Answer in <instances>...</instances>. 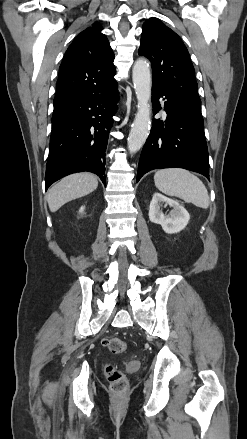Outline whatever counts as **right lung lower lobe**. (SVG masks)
Masks as SVG:
<instances>
[{"label": "right lung lower lobe", "mask_w": 247, "mask_h": 439, "mask_svg": "<svg viewBox=\"0 0 247 439\" xmlns=\"http://www.w3.org/2000/svg\"><path fill=\"white\" fill-rule=\"evenodd\" d=\"M116 86L54 111L46 190L60 178L83 171L97 174L106 185L105 151L118 99Z\"/></svg>", "instance_id": "right-lung-lower-lobe-1"}]
</instances>
